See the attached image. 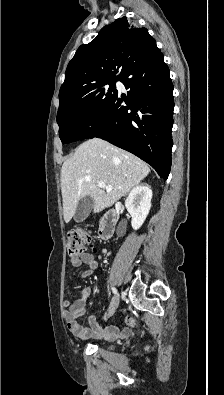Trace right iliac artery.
<instances>
[{"label":"right iliac artery","instance_id":"82829eb1","mask_svg":"<svg viewBox=\"0 0 224 395\" xmlns=\"http://www.w3.org/2000/svg\"><path fill=\"white\" fill-rule=\"evenodd\" d=\"M111 289H112V292L114 293L115 297H117V296H118L117 289L114 288V287H112ZM115 297H114V298H115ZM114 298H113V299H114ZM112 301H113V300H112Z\"/></svg>","mask_w":224,"mask_h":395}]
</instances>
